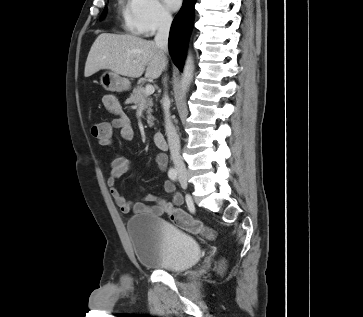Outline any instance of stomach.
Returning a JSON list of instances; mask_svg holds the SVG:
<instances>
[{
  "label": "stomach",
  "mask_w": 363,
  "mask_h": 317,
  "mask_svg": "<svg viewBox=\"0 0 363 317\" xmlns=\"http://www.w3.org/2000/svg\"><path fill=\"white\" fill-rule=\"evenodd\" d=\"M100 82L104 89L112 92H122L130 89L129 80L113 71L104 72L100 77Z\"/></svg>",
  "instance_id": "1"
}]
</instances>
